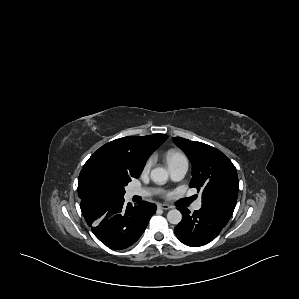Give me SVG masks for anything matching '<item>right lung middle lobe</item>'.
<instances>
[{"label":"right lung middle lobe","mask_w":299,"mask_h":299,"mask_svg":"<svg viewBox=\"0 0 299 299\" xmlns=\"http://www.w3.org/2000/svg\"><path fill=\"white\" fill-rule=\"evenodd\" d=\"M133 177L101 155L93 154L84 164L78 179V193L107 200L122 199L124 187Z\"/></svg>","instance_id":"dd1d6c3e"}]
</instances>
